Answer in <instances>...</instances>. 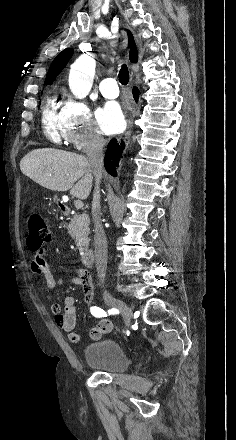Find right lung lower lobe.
Instances as JSON below:
<instances>
[{
    "mask_svg": "<svg viewBox=\"0 0 236 440\" xmlns=\"http://www.w3.org/2000/svg\"><path fill=\"white\" fill-rule=\"evenodd\" d=\"M133 96L135 100H138L139 91L137 88L133 89ZM123 146V143H121ZM122 146H119L116 139H112L107 147L105 159H104V166L105 169L109 174L112 176H116V169L114 168L116 166V162L119 161V158L122 154Z\"/></svg>",
    "mask_w": 236,
    "mask_h": 440,
    "instance_id": "obj_1",
    "label": "right lung lower lobe"
}]
</instances>
